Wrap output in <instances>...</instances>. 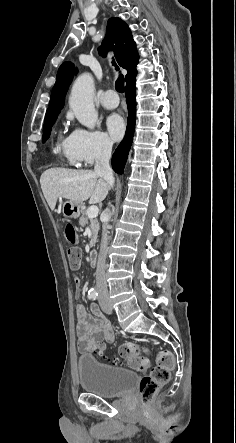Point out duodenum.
Returning <instances> with one entry per match:
<instances>
[{
  "label": "duodenum",
  "instance_id": "duodenum-1",
  "mask_svg": "<svg viewBox=\"0 0 236 443\" xmlns=\"http://www.w3.org/2000/svg\"><path fill=\"white\" fill-rule=\"evenodd\" d=\"M89 261L91 264H95L96 263V254L95 253H91L89 255Z\"/></svg>",
  "mask_w": 236,
  "mask_h": 443
}]
</instances>
